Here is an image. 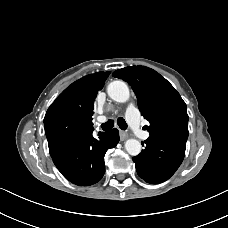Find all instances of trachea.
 Returning <instances> with one entry per match:
<instances>
[{"label": "trachea", "instance_id": "3493384b", "mask_svg": "<svg viewBox=\"0 0 228 228\" xmlns=\"http://www.w3.org/2000/svg\"><path fill=\"white\" fill-rule=\"evenodd\" d=\"M117 124L120 127V129H122V130L127 129V123L122 117H119L117 119ZM113 127H114V120H108L107 122H105L101 125V129L103 131L111 130Z\"/></svg>", "mask_w": 228, "mask_h": 228}]
</instances>
